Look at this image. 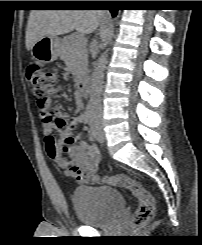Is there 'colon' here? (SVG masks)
Here are the masks:
<instances>
[{
  "instance_id": "5ec220e1",
  "label": "colon",
  "mask_w": 202,
  "mask_h": 245,
  "mask_svg": "<svg viewBox=\"0 0 202 245\" xmlns=\"http://www.w3.org/2000/svg\"><path fill=\"white\" fill-rule=\"evenodd\" d=\"M26 76L31 84L38 112L43 122L52 123L59 130H63L68 124L75 123L73 118L57 117L51 110L50 96L56 93L61 86L62 75L59 71L48 70L38 64H30L27 67ZM75 127L74 124L73 130ZM73 141L74 138L70 136L64 140V152H67L68 146ZM57 153L55 148L51 150V156H55ZM103 182L118 184L134 193L138 199V206L132 217V229L134 234H138L140 228L154 217L155 205L149 192L137 181L121 174L106 175L103 177Z\"/></svg>"
}]
</instances>
